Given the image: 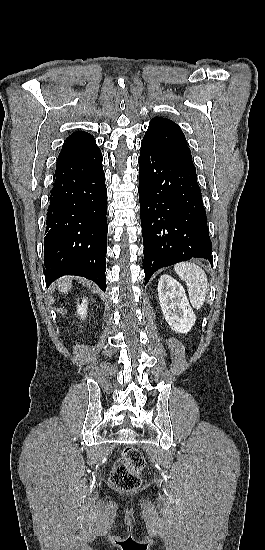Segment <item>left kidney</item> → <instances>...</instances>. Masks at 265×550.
Wrapping results in <instances>:
<instances>
[{
  "label": "left kidney",
  "mask_w": 265,
  "mask_h": 550,
  "mask_svg": "<svg viewBox=\"0 0 265 550\" xmlns=\"http://www.w3.org/2000/svg\"><path fill=\"white\" fill-rule=\"evenodd\" d=\"M158 297L171 329L177 333H188L196 322V316L182 285L169 275H162L158 283Z\"/></svg>",
  "instance_id": "obj_1"
}]
</instances>
